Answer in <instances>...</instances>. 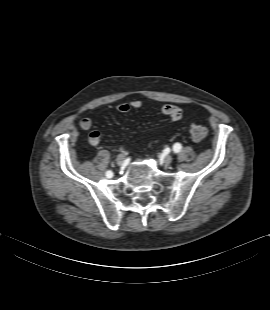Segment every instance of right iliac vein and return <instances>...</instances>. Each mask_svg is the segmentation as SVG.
<instances>
[{
	"label": "right iliac vein",
	"mask_w": 270,
	"mask_h": 310,
	"mask_svg": "<svg viewBox=\"0 0 270 310\" xmlns=\"http://www.w3.org/2000/svg\"><path fill=\"white\" fill-rule=\"evenodd\" d=\"M125 161V155L124 154H119L117 157V164L122 165Z\"/></svg>",
	"instance_id": "1"
}]
</instances>
